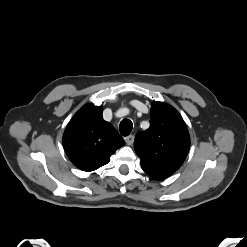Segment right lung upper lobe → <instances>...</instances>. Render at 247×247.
Instances as JSON below:
<instances>
[{
	"instance_id": "1",
	"label": "right lung upper lobe",
	"mask_w": 247,
	"mask_h": 247,
	"mask_svg": "<svg viewBox=\"0 0 247 247\" xmlns=\"http://www.w3.org/2000/svg\"><path fill=\"white\" fill-rule=\"evenodd\" d=\"M124 144L113 125L103 120L102 107L91 103L72 117L63 135L67 156L83 171H94L107 164Z\"/></svg>"
}]
</instances>
